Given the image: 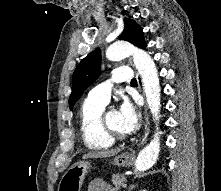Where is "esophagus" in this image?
<instances>
[{"label": "esophagus", "mask_w": 221, "mask_h": 191, "mask_svg": "<svg viewBox=\"0 0 221 191\" xmlns=\"http://www.w3.org/2000/svg\"><path fill=\"white\" fill-rule=\"evenodd\" d=\"M137 81L139 84V87L141 91H143V82L141 79V76L137 73ZM149 115H148V108L147 105L145 104V111H144V135L142 136L140 144H144L147 141L148 134H149Z\"/></svg>", "instance_id": "obj_1"}]
</instances>
